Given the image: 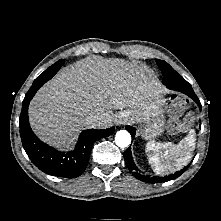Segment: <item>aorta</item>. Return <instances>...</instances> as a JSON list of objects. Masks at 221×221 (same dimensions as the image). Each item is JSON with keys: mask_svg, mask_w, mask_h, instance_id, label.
<instances>
[{"mask_svg": "<svg viewBox=\"0 0 221 221\" xmlns=\"http://www.w3.org/2000/svg\"><path fill=\"white\" fill-rule=\"evenodd\" d=\"M115 142L121 148H125L129 146L131 143L130 133L126 130L118 131L115 135Z\"/></svg>", "mask_w": 221, "mask_h": 221, "instance_id": "obj_1", "label": "aorta"}]
</instances>
